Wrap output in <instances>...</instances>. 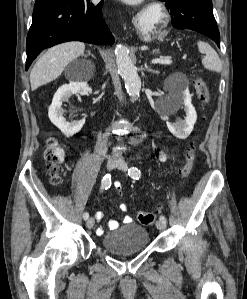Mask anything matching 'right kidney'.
Here are the masks:
<instances>
[{"instance_id": "ca27d5eb", "label": "right kidney", "mask_w": 247, "mask_h": 299, "mask_svg": "<svg viewBox=\"0 0 247 299\" xmlns=\"http://www.w3.org/2000/svg\"><path fill=\"white\" fill-rule=\"evenodd\" d=\"M90 93H92V89L87 82L84 81L70 82L69 84L62 85L55 93L52 104L48 109V116L50 121L58 127L66 137H72L78 133L82 129L85 119L68 122L63 117V101H67L68 98L74 94L88 95Z\"/></svg>"}]
</instances>
